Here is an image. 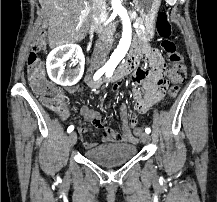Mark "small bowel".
<instances>
[{"instance_id":"c3829d8e","label":"small bowel","mask_w":217,"mask_h":202,"mask_svg":"<svg viewBox=\"0 0 217 202\" xmlns=\"http://www.w3.org/2000/svg\"><path fill=\"white\" fill-rule=\"evenodd\" d=\"M136 48L139 55L145 53L147 56L151 57L152 68L149 70L138 68L136 69L129 78H118L113 86L112 92L118 91L126 82L132 84H143L148 88L147 95H163L164 94V83L158 82L160 74L163 68V59L160 54L146 42H137ZM73 91H81L79 87L72 89ZM61 95V94H60ZM132 99L134 102L135 111L139 114L146 113L149 106H152V101H145L139 91L133 90ZM64 108L59 109V116L61 119H66L71 116V110L63 100ZM80 115L95 127L103 129L102 142L103 143H115V144H126L133 145L137 142V138L143 133V131L132 132V126L137 125V116L133 115L129 118V107L127 104L122 103L119 108V117L121 120V130L115 131L110 127H107L101 121L100 111L94 109L90 106L84 105L79 109ZM86 132L85 129L80 130V137L83 140V134ZM84 147L90 149L95 146L94 143H89L87 141L83 142Z\"/></svg>"}]
</instances>
